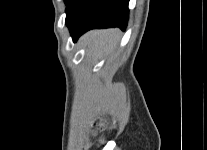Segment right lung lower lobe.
Returning a JSON list of instances; mask_svg holds the SVG:
<instances>
[{"mask_svg":"<svg viewBox=\"0 0 207 150\" xmlns=\"http://www.w3.org/2000/svg\"><path fill=\"white\" fill-rule=\"evenodd\" d=\"M129 0H74L66 9V25L76 41L93 28L119 27L128 22Z\"/></svg>","mask_w":207,"mask_h":150,"instance_id":"98d812e1","label":"right lung lower lobe"}]
</instances>
